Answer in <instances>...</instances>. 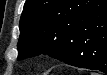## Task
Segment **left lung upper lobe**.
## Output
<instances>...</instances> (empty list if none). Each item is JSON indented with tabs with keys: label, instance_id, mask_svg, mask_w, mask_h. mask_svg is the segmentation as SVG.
Instances as JSON below:
<instances>
[{
	"label": "left lung upper lobe",
	"instance_id": "1",
	"mask_svg": "<svg viewBox=\"0 0 107 75\" xmlns=\"http://www.w3.org/2000/svg\"><path fill=\"white\" fill-rule=\"evenodd\" d=\"M98 4L93 0H26L21 15L18 59L53 55L73 45L79 22Z\"/></svg>",
	"mask_w": 107,
	"mask_h": 75
}]
</instances>
